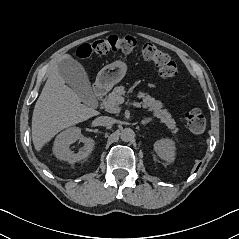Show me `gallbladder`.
Wrapping results in <instances>:
<instances>
[{"label": "gallbladder", "instance_id": "bac80fb5", "mask_svg": "<svg viewBox=\"0 0 239 239\" xmlns=\"http://www.w3.org/2000/svg\"><path fill=\"white\" fill-rule=\"evenodd\" d=\"M58 72L65 82L81 97L83 102L91 103L94 95L83 66L73 58L62 59L57 63Z\"/></svg>", "mask_w": 239, "mask_h": 239}]
</instances>
